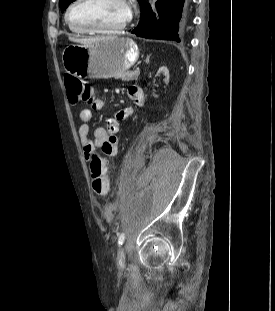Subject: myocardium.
<instances>
[{
	"label": "myocardium",
	"instance_id": "1",
	"mask_svg": "<svg viewBox=\"0 0 275 311\" xmlns=\"http://www.w3.org/2000/svg\"><path fill=\"white\" fill-rule=\"evenodd\" d=\"M84 0H75L70 6L68 7L66 14H65V20L67 25L74 30L81 31L83 33H90V34H101V35H112V34H118L122 31H124L129 23L131 22L132 14H131V8L130 4L127 0H121V2L124 3V5L127 7L128 10V15L123 24L116 28L112 29H94L90 27H85V26H76L72 21H71V12L74 9L75 6H77L80 2H83Z\"/></svg>",
	"mask_w": 275,
	"mask_h": 311
}]
</instances>
